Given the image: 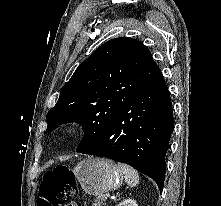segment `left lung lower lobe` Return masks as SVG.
<instances>
[{
  "label": "left lung lower lobe",
  "mask_w": 221,
  "mask_h": 206,
  "mask_svg": "<svg viewBox=\"0 0 221 206\" xmlns=\"http://www.w3.org/2000/svg\"><path fill=\"white\" fill-rule=\"evenodd\" d=\"M173 132V109L163 76L142 90L110 127L79 153L126 163L164 185L165 156Z\"/></svg>",
  "instance_id": "0a47b994"
}]
</instances>
